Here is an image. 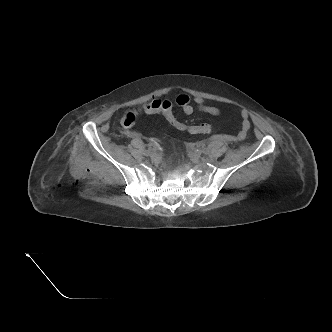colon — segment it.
<instances>
[{"label": "colon", "instance_id": "5ec220e1", "mask_svg": "<svg viewBox=\"0 0 332 332\" xmlns=\"http://www.w3.org/2000/svg\"><path fill=\"white\" fill-rule=\"evenodd\" d=\"M142 113L160 114L170 126L191 135L207 134L213 130L212 125L209 123L188 124L176 114L173 103L163 99H153L144 104L141 108L131 109L125 112L121 122L125 127H130L134 125Z\"/></svg>", "mask_w": 332, "mask_h": 332}]
</instances>
